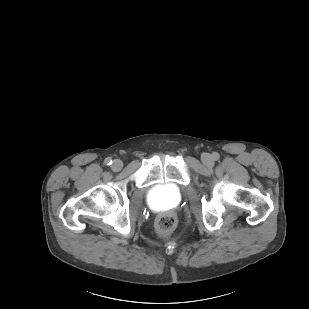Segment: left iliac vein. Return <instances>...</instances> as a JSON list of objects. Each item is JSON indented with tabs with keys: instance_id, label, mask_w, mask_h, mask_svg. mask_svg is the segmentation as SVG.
Wrapping results in <instances>:
<instances>
[{
	"instance_id": "1",
	"label": "left iliac vein",
	"mask_w": 309,
	"mask_h": 309,
	"mask_svg": "<svg viewBox=\"0 0 309 309\" xmlns=\"http://www.w3.org/2000/svg\"><path fill=\"white\" fill-rule=\"evenodd\" d=\"M201 160L206 166H213L214 164L212 156L208 153H204L201 157Z\"/></svg>"
}]
</instances>
